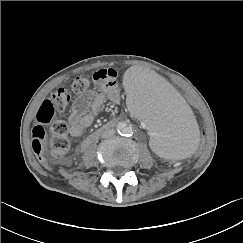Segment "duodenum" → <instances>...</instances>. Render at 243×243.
<instances>
[{"label":"duodenum","mask_w":243,"mask_h":243,"mask_svg":"<svg viewBox=\"0 0 243 243\" xmlns=\"http://www.w3.org/2000/svg\"><path fill=\"white\" fill-rule=\"evenodd\" d=\"M111 127H112V124L111 123H107V124L101 126L100 128L96 129L95 131H93L91 134H89L84 139V141L81 144V148L83 150L87 149L91 145V143L93 141H95L96 139H98L102 135L103 132L107 131Z\"/></svg>","instance_id":"duodenum-1"}]
</instances>
